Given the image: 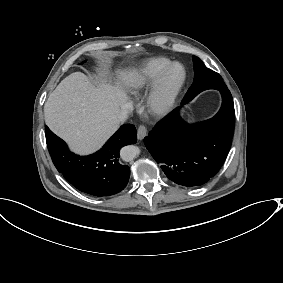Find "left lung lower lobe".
<instances>
[{"label":"left lung lower lobe","mask_w":283,"mask_h":283,"mask_svg":"<svg viewBox=\"0 0 283 283\" xmlns=\"http://www.w3.org/2000/svg\"><path fill=\"white\" fill-rule=\"evenodd\" d=\"M217 90L222 95V106L213 118L187 124L180 117V108H176L144 139L167 178L178 185L194 187L209 181L230 150L235 121L233 98L227 88ZM193 98L184 97L182 105Z\"/></svg>","instance_id":"1"}]
</instances>
